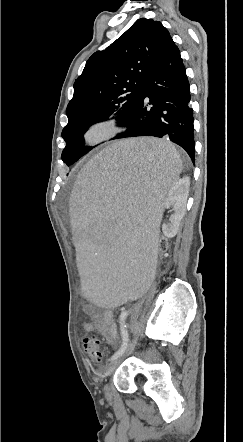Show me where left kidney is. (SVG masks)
<instances>
[{
  "label": "left kidney",
  "instance_id": "left-kidney-1",
  "mask_svg": "<svg viewBox=\"0 0 243 442\" xmlns=\"http://www.w3.org/2000/svg\"><path fill=\"white\" fill-rule=\"evenodd\" d=\"M189 185L190 182L187 177L180 179L169 191L163 202L164 208L172 207L174 212L170 217V223L162 225V230L167 234V238H173L179 230L180 221L186 211Z\"/></svg>",
  "mask_w": 243,
  "mask_h": 442
}]
</instances>
